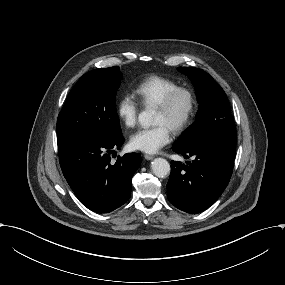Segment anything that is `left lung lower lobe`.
<instances>
[{
  "mask_svg": "<svg viewBox=\"0 0 285 285\" xmlns=\"http://www.w3.org/2000/svg\"><path fill=\"white\" fill-rule=\"evenodd\" d=\"M176 153L194 156L187 164L171 161L167 184L168 200L191 214L209 208L222 194L233 171L236 132H222Z\"/></svg>",
  "mask_w": 285,
  "mask_h": 285,
  "instance_id": "1",
  "label": "left lung lower lobe"
}]
</instances>
